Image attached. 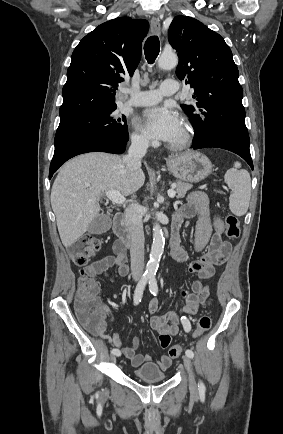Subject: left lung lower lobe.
Segmentation results:
<instances>
[{
    "mask_svg": "<svg viewBox=\"0 0 283 434\" xmlns=\"http://www.w3.org/2000/svg\"><path fill=\"white\" fill-rule=\"evenodd\" d=\"M221 148L228 151H231L233 153H236L240 157H242L253 169V162L250 155V149L249 146H245L236 142H230V141H217L209 144H195L193 146L194 149H200V148Z\"/></svg>",
    "mask_w": 283,
    "mask_h": 434,
    "instance_id": "0a47b994",
    "label": "left lung lower lobe"
}]
</instances>
